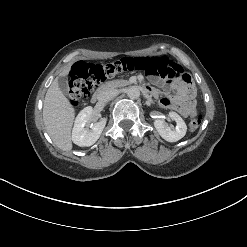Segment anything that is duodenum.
<instances>
[{
	"instance_id": "410a0bca",
	"label": "duodenum",
	"mask_w": 247,
	"mask_h": 247,
	"mask_svg": "<svg viewBox=\"0 0 247 247\" xmlns=\"http://www.w3.org/2000/svg\"><path fill=\"white\" fill-rule=\"evenodd\" d=\"M143 91L145 93H148L149 92L146 87H143ZM103 94H104V88H98L97 90H95L92 93V95H91V102H93V103L102 102Z\"/></svg>"
}]
</instances>
